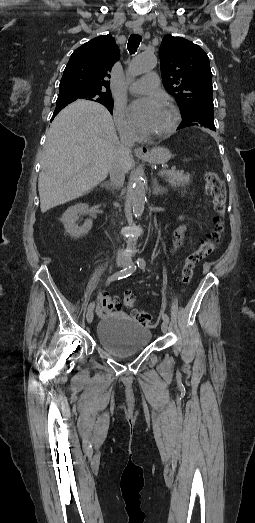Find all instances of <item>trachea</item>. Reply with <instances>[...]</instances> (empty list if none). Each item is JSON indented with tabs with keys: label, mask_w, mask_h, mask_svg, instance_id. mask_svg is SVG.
<instances>
[{
	"label": "trachea",
	"mask_w": 255,
	"mask_h": 523,
	"mask_svg": "<svg viewBox=\"0 0 255 523\" xmlns=\"http://www.w3.org/2000/svg\"><path fill=\"white\" fill-rule=\"evenodd\" d=\"M142 41L141 35L138 34H132L128 40V50L130 54H133L137 51V48L139 47L140 43Z\"/></svg>",
	"instance_id": "obj_1"
}]
</instances>
